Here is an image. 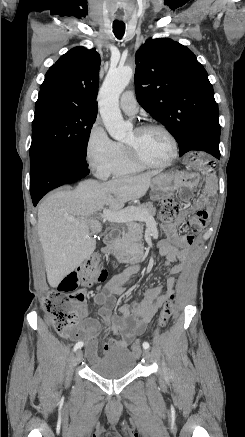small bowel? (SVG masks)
<instances>
[{"label":"small bowel","instance_id":"1","mask_svg":"<svg viewBox=\"0 0 245 437\" xmlns=\"http://www.w3.org/2000/svg\"><path fill=\"white\" fill-rule=\"evenodd\" d=\"M187 165L190 171L197 175L203 171L207 180H215L217 177V164L209 154H203L202 150H188L186 153ZM207 195H205V199ZM186 200L191 199V192L184 194ZM207 200V199H206ZM209 213L207 210H199L190 220L189 225L201 229L208 221ZM186 213L181 211L177 217V224L185 220ZM163 230L166 238L159 241L158 251L164 257L163 265L170 267V275L178 274L182 271L183 265L176 264L171 266L175 261L183 262L187 256L188 249L194 242V236L191 234H181L177 225L163 224ZM125 281L121 277L112 278L107 285L94 296V304L99 307L98 314L104 321L110 332L114 335L106 344L102 346L104 352L111 349H125L129 342L136 336L144 333L147 324L159 311L162 305L168 300L169 292L161 285L148 288L145 292V298L142 301L132 299L130 302L123 304L119 308L118 314H114L112 309L115 305V296L123 293ZM176 281L173 277L168 278L167 288L173 289ZM79 313L85 315V307H79ZM82 332L79 336L63 335L67 339L82 338L85 341L86 356L89 360L98 358V333L99 324L92 318L83 320Z\"/></svg>","mask_w":245,"mask_h":437}]
</instances>
